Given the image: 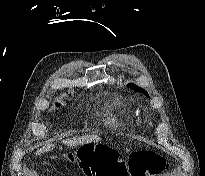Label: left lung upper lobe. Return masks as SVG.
Wrapping results in <instances>:
<instances>
[{
  "label": "left lung upper lobe",
  "instance_id": "5c2ea615",
  "mask_svg": "<svg viewBox=\"0 0 205 176\" xmlns=\"http://www.w3.org/2000/svg\"><path fill=\"white\" fill-rule=\"evenodd\" d=\"M128 87L132 88V89L135 90V91L143 92L144 94H146L147 96H149L148 93H147L144 89H142V88H140V87H138V86H136V85H134V84H132V83H129V84H128Z\"/></svg>",
  "mask_w": 205,
  "mask_h": 176
}]
</instances>
